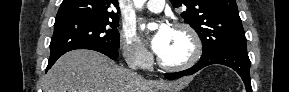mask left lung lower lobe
Here are the masks:
<instances>
[{"label": "left lung lower lobe", "instance_id": "obj_1", "mask_svg": "<svg viewBox=\"0 0 289 92\" xmlns=\"http://www.w3.org/2000/svg\"><path fill=\"white\" fill-rule=\"evenodd\" d=\"M212 64L226 65L235 70L242 78L247 92H252L249 74L250 60L247 50L241 48H229L214 52L210 55L201 57L193 67L176 73H166L165 77L170 80L178 79L183 76L192 75L200 69Z\"/></svg>", "mask_w": 289, "mask_h": 92}]
</instances>
